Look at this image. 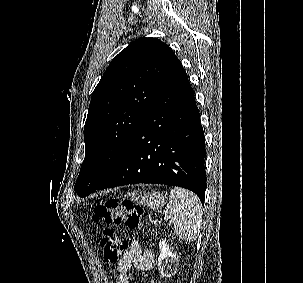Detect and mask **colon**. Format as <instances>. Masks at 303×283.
Wrapping results in <instances>:
<instances>
[{"label":"colon","instance_id":"5ec220e1","mask_svg":"<svg viewBox=\"0 0 303 283\" xmlns=\"http://www.w3.org/2000/svg\"><path fill=\"white\" fill-rule=\"evenodd\" d=\"M92 219L97 224H106L100 232V245L107 263H117L127 248V240L116 233L110 225L124 224L130 230L142 227V208L140 205L124 200H108L94 207Z\"/></svg>","mask_w":303,"mask_h":283}]
</instances>
